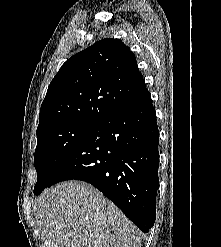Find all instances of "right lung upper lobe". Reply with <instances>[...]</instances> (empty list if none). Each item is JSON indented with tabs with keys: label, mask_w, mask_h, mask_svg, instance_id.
Returning <instances> with one entry per match:
<instances>
[{
	"label": "right lung upper lobe",
	"mask_w": 221,
	"mask_h": 247,
	"mask_svg": "<svg viewBox=\"0 0 221 247\" xmlns=\"http://www.w3.org/2000/svg\"><path fill=\"white\" fill-rule=\"evenodd\" d=\"M146 92L130 48L103 39L62 65L41 105L37 133L73 122L98 124Z\"/></svg>",
	"instance_id": "1"
}]
</instances>
